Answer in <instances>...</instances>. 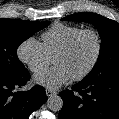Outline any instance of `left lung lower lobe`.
Wrapping results in <instances>:
<instances>
[{"instance_id":"1","label":"left lung lower lobe","mask_w":119,"mask_h":119,"mask_svg":"<svg viewBox=\"0 0 119 119\" xmlns=\"http://www.w3.org/2000/svg\"><path fill=\"white\" fill-rule=\"evenodd\" d=\"M60 96L59 119H119V75L83 79Z\"/></svg>"}]
</instances>
